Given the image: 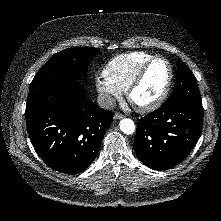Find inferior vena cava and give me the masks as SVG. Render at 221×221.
<instances>
[{"label":"inferior vena cava","instance_id":"1","mask_svg":"<svg viewBox=\"0 0 221 221\" xmlns=\"http://www.w3.org/2000/svg\"><path fill=\"white\" fill-rule=\"evenodd\" d=\"M98 106L104 110H113L116 107V100L108 93H100L97 97Z\"/></svg>","mask_w":221,"mask_h":221}]
</instances>
